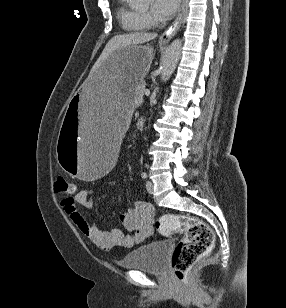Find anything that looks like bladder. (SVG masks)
<instances>
[{"label": "bladder", "instance_id": "31cf9c89", "mask_svg": "<svg viewBox=\"0 0 286 308\" xmlns=\"http://www.w3.org/2000/svg\"><path fill=\"white\" fill-rule=\"evenodd\" d=\"M167 242H150L141 245L120 260L123 269L162 274L166 269Z\"/></svg>", "mask_w": 286, "mask_h": 308}]
</instances>
